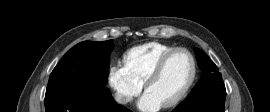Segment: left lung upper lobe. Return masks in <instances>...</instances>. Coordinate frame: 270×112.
<instances>
[{"label": "left lung upper lobe", "instance_id": "obj_1", "mask_svg": "<svg viewBox=\"0 0 270 112\" xmlns=\"http://www.w3.org/2000/svg\"><path fill=\"white\" fill-rule=\"evenodd\" d=\"M198 65L203 75L186 100L194 99L215 84H223V79L217 66L202 50L195 49Z\"/></svg>", "mask_w": 270, "mask_h": 112}]
</instances>
